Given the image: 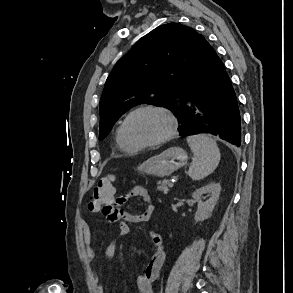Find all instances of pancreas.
Returning a JSON list of instances; mask_svg holds the SVG:
<instances>
[{
  "mask_svg": "<svg viewBox=\"0 0 293 293\" xmlns=\"http://www.w3.org/2000/svg\"><path fill=\"white\" fill-rule=\"evenodd\" d=\"M169 181L168 180H162L158 182V186H157V191L162 192L163 194H167L168 193V187H169Z\"/></svg>",
  "mask_w": 293,
  "mask_h": 293,
  "instance_id": "pancreas-1",
  "label": "pancreas"
}]
</instances>
